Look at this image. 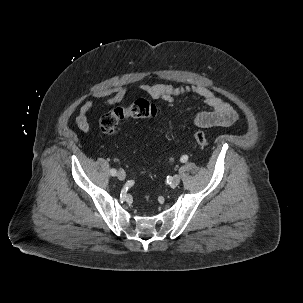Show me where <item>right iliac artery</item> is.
Instances as JSON below:
<instances>
[{
	"instance_id": "right-iliac-artery-1",
	"label": "right iliac artery",
	"mask_w": 303,
	"mask_h": 303,
	"mask_svg": "<svg viewBox=\"0 0 303 303\" xmlns=\"http://www.w3.org/2000/svg\"><path fill=\"white\" fill-rule=\"evenodd\" d=\"M110 174L112 175V176H116L117 175V171H116V169H111L110 170Z\"/></svg>"
}]
</instances>
